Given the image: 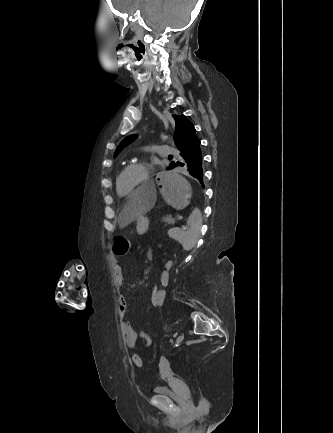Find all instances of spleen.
<instances>
[{
    "mask_svg": "<svg viewBox=\"0 0 333 433\" xmlns=\"http://www.w3.org/2000/svg\"><path fill=\"white\" fill-rule=\"evenodd\" d=\"M201 218L202 213L200 207L194 206L191 209L187 225L183 228L176 227L174 231L168 233L169 236L180 242L184 250H191L196 245L200 236L202 225Z\"/></svg>",
    "mask_w": 333,
    "mask_h": 433,
    "instance_id": "3e777b00",
    "label": "spleen"
}]
</instances>
